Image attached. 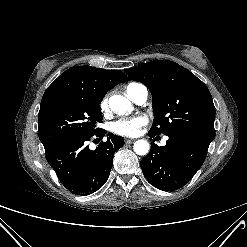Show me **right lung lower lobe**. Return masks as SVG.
<instances>
[{"label":"right lung lower lobe","mask_w":247,"mask_h":247,"mask_svg":"<svg viewBox=\"0 0 247 247\" xmlns=\"http://www.w3.org/2000/svg\"><path fill=\"white\" fill-rule=\"evenodd\" d=\"M106 131L94 134L69 136L45 145L46 159L60 182L74 194L88 195L99 190L107 181L114 153L123 146L120 136L108 134L95 150L89 148L92 137H102Z\"/></svg>","instance_id":"98d812e1"}]
</instances>
